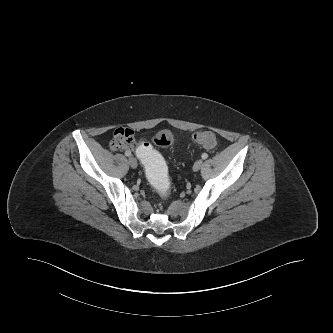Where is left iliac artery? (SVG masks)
I'll list each match as a JSON object with an SVG mask.
<instances>
[{
  "label": "left iliac artery",
  "mask_w": 333,
  "mask_h": 333,
  "mask_svg": "<svg viewBox=\"0 0 333 333\" xmlns=\"http://www.w3.org/2000/svg\"><path fill=\"white\" fill-rule=\"evenodd\" d=\"M208 158V154L207 153H203L202 154V159H207Z\"/></svg>",
  "instance_id": "left-iliac-artery-1"
}]
</instances>
